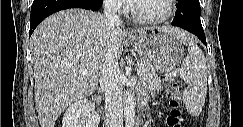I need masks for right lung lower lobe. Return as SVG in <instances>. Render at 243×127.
Returning <instances> with one entry per match:
<instances>
[{"instance_id": "right-lung-lower-lobe-1", "label": "right lung lower lobe", "mask_w": 243, "mask_h": 127, "mask_svg": "<svg viewBox=\"0 0 243 127\" xmlns=\"http://www.w3.org/2000/svg\"><path fill=\"white\" fill-rule=\"evenodd\" d=\"M102 0H34L31 7L29 37L49 15L64 9L83 8L87 10H98Z\"/></svg>"}]
</instances>
